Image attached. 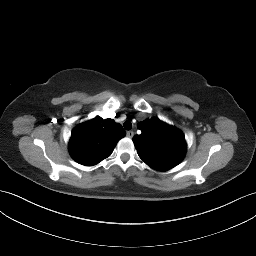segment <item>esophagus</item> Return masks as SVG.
I'll return each mask as SVG.
<instances>
[{"instance_id": "obj_1", "label": "esophagus", "mask_w": 256, "mask_h": 256, "mask_svg": "<svg viewBox=\"0 0 256 256\" xmlns=\"http://www.w3.org/2000/svg\"><path fill=\"white\" fill-rule=\"evenodd\" d=\"M127 136H128L129 138H132V137L134 136V132H133V131H128V132H127Z\"/></svg>"}]
</instances>
